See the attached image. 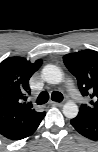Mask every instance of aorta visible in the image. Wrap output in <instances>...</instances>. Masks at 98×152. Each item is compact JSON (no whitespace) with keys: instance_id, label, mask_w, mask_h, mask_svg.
<instances>
[{"instance_id":"obj_1","label":"aorta","mask_w":98,"mask_h":152,"mask_svg":"<svg viewBox=\"0 0 98 152\" xmlns=\"http://www.w3.org/2000/svg\"><path fill=\"white\" fill-rule=\"evenodd\" d=\"M42 77L50 84H59L63 80V74L60 68L51 64H48L43 68ZM78 112V106L73 101H68L63 106V114L69 119L76 117Z\"/></svg>"}]
</instances>
